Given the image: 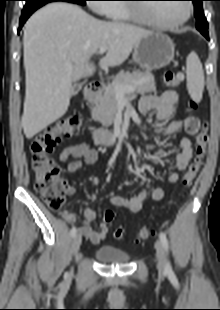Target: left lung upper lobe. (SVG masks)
<instances>
[{"label":"left lung upper lobe","mask_w":220,"mask_h":310,"mask_svg":"<svg viewBox=\"0 0 220 310\" xmlns=\"http://www.w3.org/2000/svg\"><path fill=\"white\" fill-rule=\"evenodd\" d=\"M194 3V10H195V17L197 20L196 28L202 33L206 34L208 33V23L205 18L203 7H202V1L204 0H191Z\"/></svg>","instance_id":"1"}]
</instances>
